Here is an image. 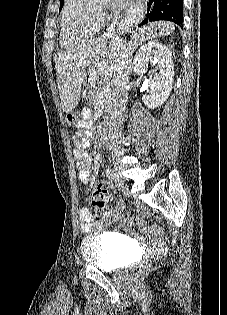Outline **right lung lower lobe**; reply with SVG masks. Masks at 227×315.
<instances>
[{"instance_id": "obj_1", "label": "right lung lower lobe", "mask_w": 227, "mask_h": 315, "mask_svg": "<svg viewBox=\"0 0 227 315\" xmlns=\"http://www.w3.org/2000/svg\"><path fill=\"white\" fill-rule=\"evenodd\" d=\"M147 7V14L141 25L156 20H169L178 25L182 24L183 0H148Z\"/></svg>"}]
</instances>
